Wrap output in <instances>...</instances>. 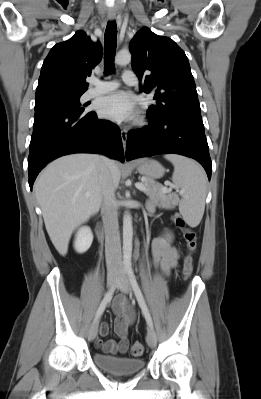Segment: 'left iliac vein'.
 <instances>
[{
	"mask_svg": "<svg viewBox=\"0 0 261 399\" xmlns=\"http://www.w3.org/2000/svg\"><path fill=\"white\" fill-rule=\"evenodd\" d=\"M118 288L121 292H123L125 294H128V295L132 294V289H131V284L129 282V279L124 274H121L119 276ZM146 341H147V344L151 348H154L156 346V334L152 328L148 329Z\"/></svg>",
	"mask_w": 261,
	"mask_h": 399,
	"instance_id": "1",
	"label": "left iliac vein"
}]
</instances>
